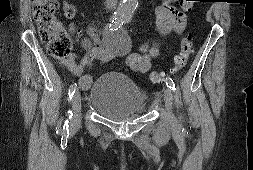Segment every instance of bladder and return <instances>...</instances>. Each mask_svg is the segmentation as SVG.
<instances>
[{
  "mask_svg": "<svg viewBox=\"0 0 253 170\" xmlns=\"http://www.w3.org/2000/svg\"><path fill=\"white\" fill-rule=\"evenodd\" d=\"M88 105L110 120L121 121L142 114L148 99L142 88L126 74L106 71L93 82Z\"/></svg>",
  "mask_w": 253,
  "mask_h": 170,
  "instance_id": "obj_1",
  "label": "bladder"
}]
</instances>
